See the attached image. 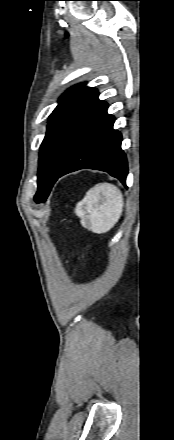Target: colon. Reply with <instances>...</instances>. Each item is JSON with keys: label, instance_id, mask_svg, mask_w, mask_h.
I'll return each instance as SVG.
<instances>
[{"label": "colon", "instance_id": "colon-1", "mask_svg": "<svg viewBox=\"0 0 174 440\" xmlns=\"http://www.w3.org/2000/svg\"><path fill=\"white\" fill-rule=\"evenodd\" d=\"M82 256H83V258L86 259V260H88V258H89L87 252H85V251L82 252Z\"/></svg>", "mask_w": 174, "mask_h": 440}]
</instances>
